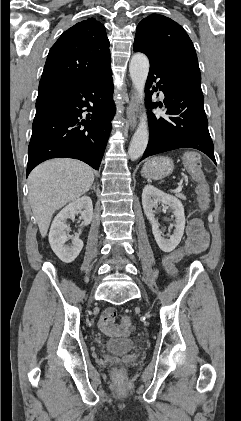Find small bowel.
<instances>
[{
    "label": "small bowel",
    "mask_w": 241,
    "mask_h": 421,
    "mask_svg": "<svg viewBox=\"0 0 241 421\" xmlns=\"http://www.w3.org/2000/svg\"><path fill=\"white\" fill-rule=\"evenodd\" d=\"M187 241L185 245L186 254H198L203 252L208 246V234L205 231L201 221L197 218L190 219L187 229ZM116 310L114 308L106 309L101 315L98 326L100 331L113 337L127 336L133 329L131 324H116Z\"/></svg>",
    "instance_id": "1"
}]
</instances>
